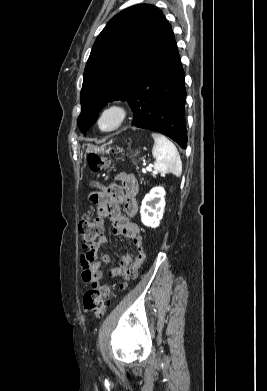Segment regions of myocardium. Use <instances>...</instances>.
<instances>
[{"label":"myocardium","instance_id":"1","mask_svg":"<svg viewBox=\"0 0 267 391\" xmlns=\"http://www.w3.org/2000/svg\"><path fill=\"white\" fill-rule=\"evenodd\" d=\"M108 112H114L117 114V122L112 128L104 129L101 126V121H102L103 116L105 114H107ZM127 117H128L127 107L120 102H113V103H110V104L104 106L101 109V111L99 112V114L97 116L96 122H97V126L100 131H102L104 133H112L114 131H117L119 128H121L124 125V123L127 120Z\"/></svg>","mask_w":267,"mask_h":391}]
</instances>
